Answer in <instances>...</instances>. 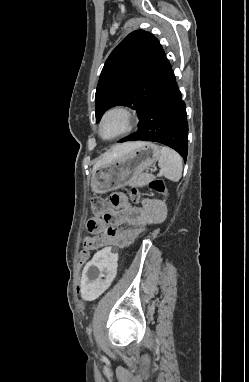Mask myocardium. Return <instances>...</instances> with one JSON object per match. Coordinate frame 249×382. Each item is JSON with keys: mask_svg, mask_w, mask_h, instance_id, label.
Segmentation results:
<instances>
[{"mask_svg": "<svg viewBox=\"0 0 249 382\" xmlns=\"http://www.w3.org/2000/svg\"><path fill=\"white\" fill-rule=\"evenodd\" d=\"M110 119H118L120 121V129L112 135L104 134V126ZM134 117L132 112L124 106H113L107 109L98 122L99 136L104 140H115L127 135L133 128Z\"/></svg>", "mask_w": 249, "mask_h": 382, "instance_id": "obj_1", "label": "myocardium"}]
</instances>
